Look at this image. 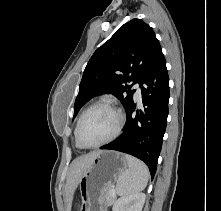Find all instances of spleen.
Instances as JSON below:
<instances>
[{
	"mask_svg": "<svg viewBox=\"0 0 221 211\" xmlns=\"http://www.w3.org/2000/svg\"><path fill=\"white\" fill-rule=\"evenodd\" d=\"M128 170L122 173L117 181L116 192L120 196L134 195L145 189L148 183L147 166L130 155H125Z\"/></svg>",
	"mask_w": 221,
	"mask_h": 211,
	"instance_id": "obj_1",
	"label": "spleen"
}]
</instances>
